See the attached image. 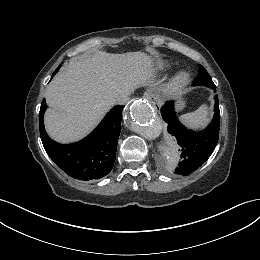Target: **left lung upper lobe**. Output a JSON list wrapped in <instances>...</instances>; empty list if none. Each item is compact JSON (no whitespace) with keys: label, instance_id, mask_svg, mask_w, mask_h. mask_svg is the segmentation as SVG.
<instances>
[{"label":"left lung upper lobe","instance_id":"5c2ea615","mask_svg":"<svg viewBox=\"0 0 260 260\" xmlns=\"http://www.w3.org/2000/svg\"><path fill=\"white\" fill-rule=\"evenodd\" d=\"M193 85H204L210 88L215 87L210 75L202 65H199L198 77L194 80Z\"/></svg>","mask_w":260,"mask_h":260}]
</instances>
